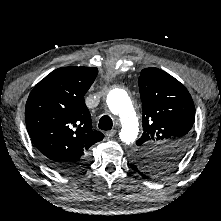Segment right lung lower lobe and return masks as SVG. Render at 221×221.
Instances as JSON below:
<instances>
[{
    "label": "right lung lower lobe",
    "instance_id": "98d812e1",
    "mask_svg": "<svg viewBox=\"0 0 221 221\" xmlns=\"http://www.w3.org/2000/svg\"><path fill=\"white\" fill-rule=\"evenodd\" d=\"M46 162L51 166L53 169L61 172V173H72L77 170L85 168L89 162H90V157L86 156L85 158L81 159L80 161L77 162H63V163H58V162H52V161H47Z\"/></svg>",
    "mask_w": 221,
    "mask_h": 221
}]
</instances>
